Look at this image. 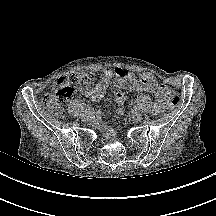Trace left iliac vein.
<instances>
[{
	"mask_svg": "<svg viewBox=\"0 0 216 216\" xmlns=\"http://www.w3.org/2000/svg\"><path fill=\"white\" fill-rule=\"evenodd\" d=\"M131 116H132V118H133L134 120H136V121H139V120L142 119V114H141L140 112H138V111H137L135 114L132 113Z\"/></svg>",
	"mask_w": 216,
	"mask_h": 216,
	"instance_id": "1",
	"label": "left iliac vein"
}]
</instances>
